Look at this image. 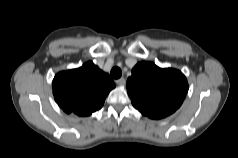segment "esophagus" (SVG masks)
Instances as JSON below:
<instances>
[{
  "label": "esophagus",
  "instance_id": "obj_1",
  "mask_svg": "<svg viewBox=\"0 0 238 158\" xmlns=\"http://www.w3.org/2000/svg\"><path fill=\"white\" fill-rule=\"evenodd\" d=\"M125 83H126V79L124 77L116 80V84L118 85H125Z\"/></svg>",
  "mask_w": 238,
  "mask_h": 158
}]
</instances>
